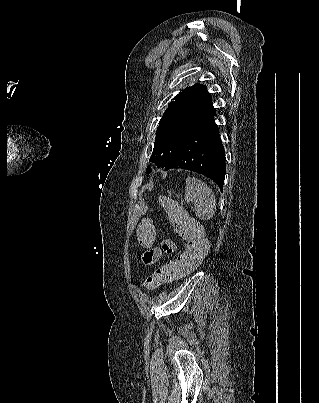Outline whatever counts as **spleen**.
I'll return each instance as SVG.
<instances>
[{
  "instance_id": "spleen-1",
  "label": "spleen",
  "mask_w": 319,
  "mask_h": 403,
  "mask_svg": "<svg viewBox=\"0 0 319 403\" xmlns=\"http://www.w3.org/2000/svg\"><path fill=\"white\" fill-rule=\"evenodd\" d=\"M185 200L194 204L195 215L201 220H210L216 212V197L210 187L196 177H188Z\"/></svg>"
}]
</instances>
